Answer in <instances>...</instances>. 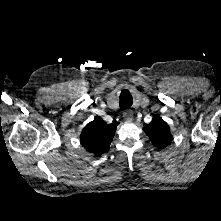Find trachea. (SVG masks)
I'll list each match as a JSON object with an SVG mask.
<instances>
[{"label":"trachea","instance_id":"obj_1","mask_svg":"<svg viewBox=\"0 0 221 221\" xmlns=\"http://www.w3.org/2000/svg\"><path fill=\"white\" fill-rule=\"evenodd\" d=\"M133 104V98L131 96V94L128 91H123L120 95V101H119V105H120V109H128L132 106Z\"/></svg>","mask_w":221,"mask_h":221}]
</instances>
